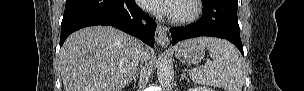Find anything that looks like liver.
I'll return each mask as SVG.
<instances>
[{"label": "liver", "mask_w": 304, "mask_h": 91, "mask_svg": "<svg viewBox=\"0 0 304 91\" xmlns=\"http://www.w3.org/2000/svg\"><path fill=\"white\" fill-rule=\"evenodd\" d=\"M141 43L109 26L71 34L60 51L65 91H122L142 60ZM145 50V58L151 56Z\"/></svg>", "instance_id": "1"}]
</instances>
